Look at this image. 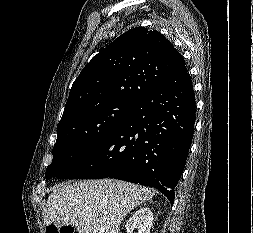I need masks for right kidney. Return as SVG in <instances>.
I'll list each match as a JSON object with an SVG mask.
<instances>
[{"mask_svg":"<svg viewBox=\"0 0 253 233\" xmlns=\"http://www.w3.org/2000/svg\"><path fill=\"white\" fill-rule=\"evenodd\" d=\"M152 221H153V214L151 210L147 207L140 208L127 221L126 223L127 233H133L134 229H137L138 233H150Z\"/></svg>","mask_w":253,"mask_h":233,"instance_id":"ca27d5eb","label":"right kidney"}]
</instances>
